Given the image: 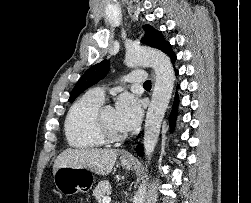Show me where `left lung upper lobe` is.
Masks as SVG:
<instances>
[{"mask_svg": "<svg viewBox=\"0 0 251 203\" xmlns=\"http://www.w3.org/2000/svg\"><path fill=\"white\" fill-rule=\"evenodd\" d=\"M143 29L145 30V35L142 38L141 42L151 47L160 49L161 51H163L165 47L169 44V42L165 41L162 34L152 28L150 25H144ZM109 66V61L103 60L102 62L90 67L79 79L74 89L72 90L69 102L75 99L84 90L103 79L109 70Z\"/></svg>", "mask_w": 251, "mask_h": 203, "instance_id": "5c2ea615", "label": "left lung upper lobe"}]
</instances>
